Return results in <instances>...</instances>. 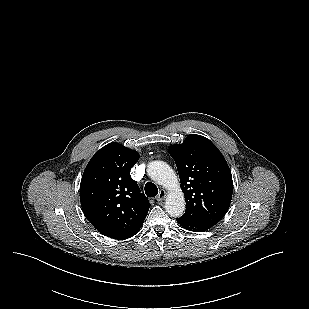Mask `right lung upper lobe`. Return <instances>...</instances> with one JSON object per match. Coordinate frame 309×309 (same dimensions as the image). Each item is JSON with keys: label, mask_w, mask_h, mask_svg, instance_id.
Returning a JSON list of instances; mask_svg holds the SVG:
<instances>
[{"label": "right lung upper lobe", "mask_w": 309, "mask_h": 309, "mask_svg": "<svg viewBox=\"0 0 309 309\" xmlns=\"http://www.w3.org/2000/svg\"><path fill=\"white\" fill-rule=\"evenodd\" d=\"M138 159L136 151L110 143L95 153L81 179L80 201L86 218L113 239L134 236L150 207L130 175Z\"/></svg>", "instance_id": "obj_1"}]
</instances>
